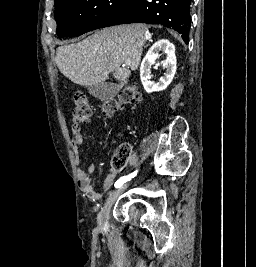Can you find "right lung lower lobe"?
<instances>
[{"label":"right lung lower lobe","mask_w":256,"mask_h":267,"mask_svg":"<svg viewBox=\"0 0 256 267\" xmlns=\"http://www.w3.org/2000/svg\"><path fill=\"white\" fill-rule=\"evenodd\" d=\"M192 0H136L103 27L126 23L161 24L182 34L189 43L190 3Z\"/></svg>","instance_id":"1"}]
</instances>
